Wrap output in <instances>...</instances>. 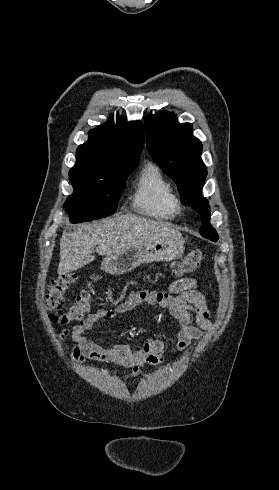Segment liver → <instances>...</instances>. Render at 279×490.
Wrapping results in <instances>:
<instances>
[{
	"instance_id": "liver-1",
	"label": "liver",
	"mask_w": 279,
	"mask_h": 490,
	"mask_svg": "<svg viewBox=\"0 0 279 490\" xmlns=\"http://www.w3.org/2000/svg\"><path fill=\"white\" fill-rule=\"evenodd\" d=\"M181 236L171 224H160L138 216H115L93 224H81L71 234H63L60 242L59 276L75 272L95 260L91 256L96 248L99 256H114L129 248H138L144 242L159 238Z\"/></svg>"
}]
</instances>
